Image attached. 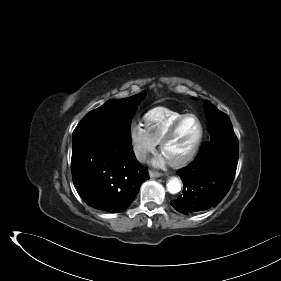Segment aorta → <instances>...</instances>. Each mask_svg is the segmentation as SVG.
Wrapping results in <instances>:
<instances>
[{
	"label": "aorta",
	"mask_w": 281,
	"mask_h": 281,
	"mask_svg": "<svg viewBox=\"0 0 281 281\" xmlns=\"http://www.w3.org/2000/svg\"><path fill=\"white\" fill-rule=\"evenodd\" d=\"M167 190L171 194H176L181 190V182L178 178L172 177L167 183Z\"/></svg>",
	"instance_id": "aorta-1"
}]
</instances>
